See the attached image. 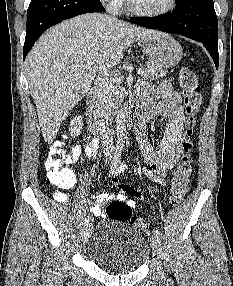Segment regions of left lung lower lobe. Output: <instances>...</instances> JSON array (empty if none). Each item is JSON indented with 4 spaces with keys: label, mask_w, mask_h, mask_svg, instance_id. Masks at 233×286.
I'll list each match as a JSON object with an SVG mask.
<instances>
[{
    "label": "left lung lower lobe",
    "mask_w": 233,
    "mask_h": 286,
    "mask_svg": "<svg viewBox=\"0 0 233 286\" xmlns=\"http://www.w3.org/2000/svg\"><path fill=\"white\" fill-rule=\"evenodd\" d=\"M130 21L202 42L218 69V23L213 0H176L171 14L133 17Z\"/></svg>",
    "instance_id": "0a47b994"
}]
</instances>
